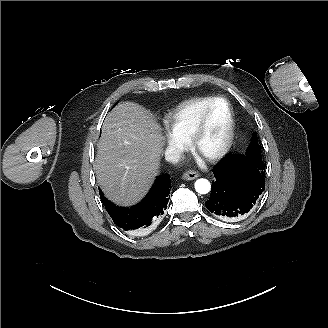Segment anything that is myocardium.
Listing matches in <instances>:
<instances>
[{"mask_svg": "<svg viewBox=\"0 0 328 328\" xmlns=\"http://www.w3.org/2000/svg\"><path fill=\"white\" fill-rule=\"evenodd\" d=\"M223 103L226 105L228 109V126L226 130V134L221 146L212 153H204L200 148V141L202 137V133L205 127V121L209 114V112L218 104ZM235 130H236V119L234 108L229 100L224 97H215L214 100L204 107L194 125L191 128V131L188 136L187 144L190 150L196 154L201 159L207 162H216L224 158L231 150L235 138Z\"/></svg>", "mask_w": 328, "mask_h": 328, "instance_id": "myocardium-1", "label": "myocardium"}]
</instances>
